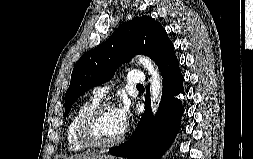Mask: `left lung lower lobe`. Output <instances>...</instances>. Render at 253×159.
<instances>
[{"mask_svg":"<svg viewBox=\"0 0 253 159\" xmlns=\"http://www.w3.org/2000/svg\"><path fill=\"white\" fill-rule=\"evenodd\" d=\"M159 70L163 75V91L156 117L151 112L148 85L145 111L132 138L125 144L110 149L111 154L127 159H160L162 152L174 140L183 113L181 101L174 96L184 94V78L175 54Z\"/></svg>","mask_w":253,"mask_h":159,"instance_id":"left-lung-lower-lobe-1","label":"left lung lower lobe"}]
</instances>
